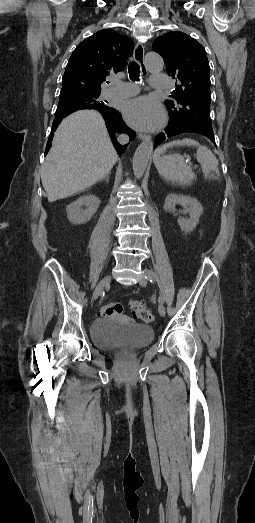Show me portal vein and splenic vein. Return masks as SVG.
I'll list each match as a JSON object with an SVG mask.
<instances>
[{
    "label": "portal vein and splenic vein",
    "mask_w": 255,
    "mask_h": 523,
    "mask_svg": "<svg viewBox=\"0 0 255 523\" xmlns=\"http://www.w3.org/2000/svg\"><path fill=\"white\" fill-rule=\"evenodd\" d=\"M188 165H189L190 167H193V166L195 165V162H194L193 160H190V161L188 162Z\"/></svg>",
    "instance_id": "18ae733b"
}]
</instances>
